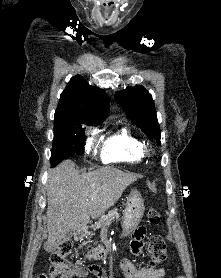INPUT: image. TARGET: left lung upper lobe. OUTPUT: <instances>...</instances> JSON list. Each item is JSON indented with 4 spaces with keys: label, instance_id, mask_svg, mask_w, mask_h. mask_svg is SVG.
<instances>
[{
    "label": "left lung upper lobe",
    "instance_id": "1",
    "mask_svg": "<svg viewBox=\"0 0 221 278\" xmlns=\"http://www.w3.org/2000/svg\"><path fill=\"white\" fill-rule=\"evenodd\" d=\"M129 119L149 137L160 143V127L151 94L142 86L128 87L115 95Z\"/></svg>",
    "mask_w": 221,
    "mask_h": 278
}]
</instances>
